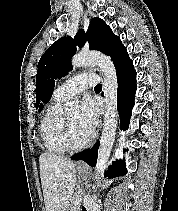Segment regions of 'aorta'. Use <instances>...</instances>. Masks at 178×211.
Wrapping results in <instances>:
<instances>
[{"label": "aorta", "instance_id": "762f6f07", "mask_svg": "<svg viewBox=\"0 0 178 211\" xmlns=\"http://www.w3.org/2000/svg\"><path fill=\"white\" fill-rule=\"evenodd\" d=\"M71 64L73 67L96 65L103 76V91L105 114L103 130L100 138L97 163L95 171L97 175L104 172L109 160L117 130V91L118 82L115 66L110 57L95 51L80 52L76 54ZM69 110H77L78 102L73 100L67 103Z\"/></svg>", "mask_w": 178, "mask_h": 211}]
</instances>
